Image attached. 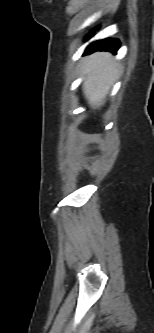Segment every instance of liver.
Returning <instances> with one entry per match:
<instances>
[{"instance_id":"obj_1","label":"liver","mask_w":154,"mask_h":333,"mask_svg":"<svg viewBox=\"0 0 154 333\" xmlns=\"http://www.w3.org/2000/svg\"><path fill=\"white\" fill-rule=\"evenodd\" d=\"M82 73L87 75L83 93L92 108L101 107L107 94L120 74V66L109 53H95L82 61Z\"/></svg>"}]
</instances>
